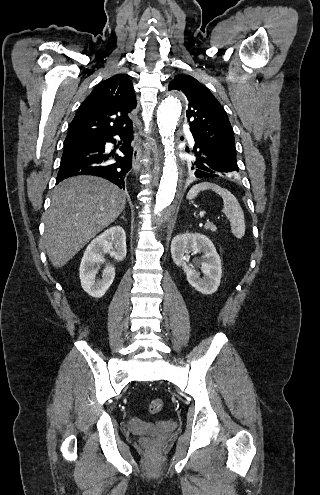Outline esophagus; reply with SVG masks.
Here are the masks:
<instances>
[{
  "mask_svg": "<svg viewBox=\"0 0 320 495\" xmlns=\"http://www.w3.org/2000/svg\"><path fill=\"white\" fill-rule=\"evenodd\" d=\"M152 150H153L154 156H157V154L159 152V147L155 146ZM140 158H141V149L139 147H136L133 151V168L136 171L140 170V166H139Z\"/></svg>",
  "mask_w": 320,
  "mask_h": 495,
  "instance_id": "esophagus-1",
  "label": "esophagus"
}]
</instances>
